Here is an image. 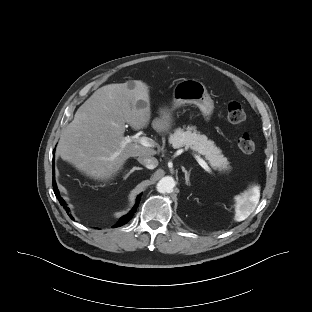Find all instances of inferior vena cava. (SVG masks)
Wrapping results in <instances>:
<instances>
[{
    "mask_svg": "<svg viewBox=\"0 0 312 312\" xmlns=\"http://www.w3.org/2000/svg\"><path fill=\"white\" fill-rule=\"evenodd\" d=\"M137 160L148 169H154L158 166V160L155 157L139 156Z\"/></svg>",
    "mask_w": 312,
    "mask_h": 312,
    "instance_id": "602c4592",
    "label": "inferior vena cava"
}]
</instances>
